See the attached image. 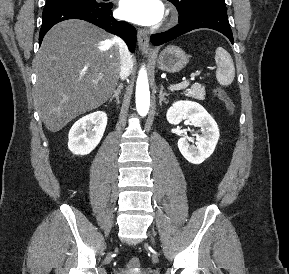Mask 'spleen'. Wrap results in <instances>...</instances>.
Returning a JSON list of instances; mask_svg holds the SVG:
<instances>
[{"mask_svg": "<svg viewBox=\"0 0 289 274\" xmlns=\"http://www.w3.org/2000/svg\"><path fill=\"white\" fill-rule=\"evenodd\" d=\"M216 79L220 85H230L235 77V67L230 54L222 47L216 49Z\"/></svg>", "mask_w": 289, "mask_h": 274, "instance_id": "3e777b00", "label": "spleen"}]
</instances>
